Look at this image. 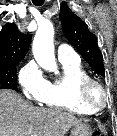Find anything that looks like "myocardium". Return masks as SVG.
<instances>
[{
	"mask_svg": "<svg viewBox=\"0 0 117 136\" xmlns=\"http://www.w3.org/2000/svg\"><path fill=\"white\" fill-rule=\"evenodd\" d=\"M95 91L101 95L100 99H95ZM78 98L86 107L96 112L104 109L110 101L106 88L99 81L90 77L78 84Z\"/></svg>",
	"mask_w": 117,
	"mask_h": 136,
	"instance_id": "1",
	"label": "myocardium"
}]
</instances>
